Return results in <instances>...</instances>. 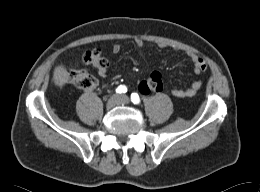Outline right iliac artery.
Segmentation results:
<instances>
[{
    "mask_svg": "<svg viewBox=\"0 0 260 192\" xmlns=\"http://www.w3.org/2000/svg\"><path fill=\"white\" fill-rule=\"evenodd\" d=\"M116 92L119 94H123L127 92V87L125 85H120L117 87Z\"/></svg>",
    "mask_w": 260,
    "mask_h": 192,
    "instance_id": "82829eb1",
    "label": "right iliac artery"
}]
</instances>
